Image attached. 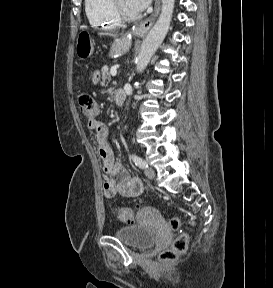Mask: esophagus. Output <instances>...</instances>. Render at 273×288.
I'll return each mask as SVG.
<instances>
[{
  "label": "esophagus",
  "instance_id": "obj_1",
  "mask_svg": "<svg viewBox=\"0 0 273 288\" xmlns=\"http://www.w3.org/2000/svg\"><path fill=\"white\" fill-rule=\"evenodd\" d=\"M160 7L161 0H155V7L152 15L134 29V32H136V34L143 36L148 32L160 12Z\"/></svg>",
  "mask_w": 273,
  "mask_h": 288
}]
</instances>
